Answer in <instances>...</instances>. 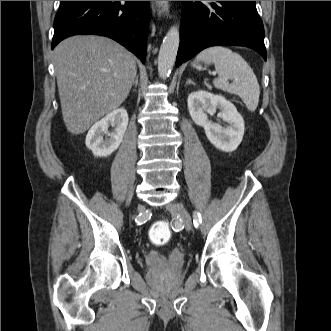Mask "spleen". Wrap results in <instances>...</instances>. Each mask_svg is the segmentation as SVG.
<instances>
[{"label": "spleen", "instance_id": "spleen-1", "mask_svg": "<svg viewBox=\"0 0 331 331\" xmlns=\"http://www.w3.org/2000/svg\"><path fill=\"white\" fill-rule=\"evenodd\" d=\"M197 60L215 65L218 78L213 80L217 89L238 95L247 109L255 111L260 95L257 78L248 63L236 52L223 46H212L197 55ZM228 80H233L229 83Z\"/></svg>", "mask_w": 331, "mask_h": 331}]
</instances>
